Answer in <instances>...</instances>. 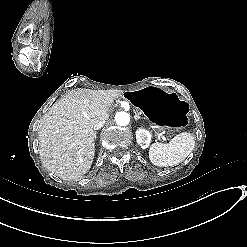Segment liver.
Here are the masks:
<instances>
[{
  "mask_svg": "<svg viewBox=\"0 0 247 247\" xmlns=\"http://www.w3.org/2000/svg\"><path fill=\"white\" fill-rule=\"evenodd\" d=\"M114 99L105 91L78 88L67 93L40 120V159L64 181L81 179L95 157L93 125L107 121Z\"/></svg>",
  "mask_w": 247,
  "mask_h": 247,
  "instance_id": "liver-1",
  "label": "liver"
}]
</instances>
